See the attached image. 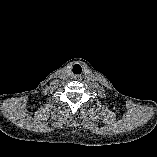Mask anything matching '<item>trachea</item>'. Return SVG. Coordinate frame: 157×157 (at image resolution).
Returning a JSON list of instances; mask_svg holds the SVG:
<instances>
[{
    "label": "trachea",
    "mask_w": 157,
    "mask_h": 157,
    "mask_svg": "<svg viewBox=\"0 0 157 157\" xmlns=\"http://www.w3.org/2000/svg\"><path fill=\"white\" fill-rule=\"evenodd\" d=\"M82 72V68L79 64H75L73 67V73L74 74H81Z\"/></svg>",
    "instance_id": "3493384b"
}]
</instances>
